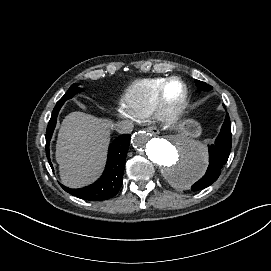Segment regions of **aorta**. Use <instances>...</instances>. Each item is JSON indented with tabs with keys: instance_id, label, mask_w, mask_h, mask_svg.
I'll list each match as a JSON object with an SVG mask.
<instances>
[{
	"instance_id": "obj_1",
	"label": "aorta",
	"mask_w": 271,
	"mask_h": 271,
	"mask_svg": "<svg viewBox=\"0 0 271 271\" xmlns=\"http://www.w3.org/2000/svg\"><path fill=\"white\" fill-rule=\"evenodd\" d=\"M132 145L146 154L163 177L175 187H190L202 177L208 166L207 148L186 133L158 138L138 131L133 135Z\"/></svg>"
}]
</instances>
